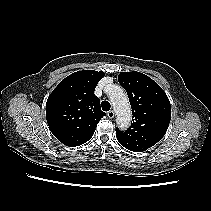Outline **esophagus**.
<instances>
[{
	"instance_id": "obj_1",
	"label": "esophagus",
	"mask_w": 211,
	"mask_h": 211,
	"mask_svg": "<svg viewBox=\"0 0 211 211\" xmlns=\"http://www.w3.org/2000/svg\"><path fill=\"white\" fill-rule=\"evenodd\" d=\"M114 111L113 110H110V111H108L107 112V116H108V118H110V119H112V118H114Z\"/></svg>"
}]
</instances>
